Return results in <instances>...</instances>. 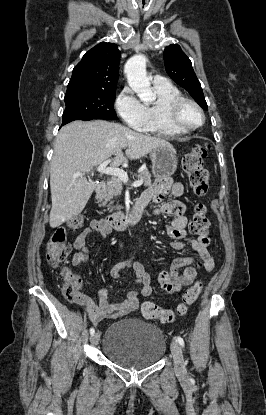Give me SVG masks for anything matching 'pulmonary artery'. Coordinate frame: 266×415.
Here are the masks:
<instances>
[{"label":"pulmonary artery","instance_id":"e3ab8cb5","mask_svg":"<svg viewBox=\"0 0 266 415\" xmlns=\"http://www.w3.org/2000/svg\"><path fill=\"white\" fill-rule=\"evenodd\" d=\"M166 82H167V80L164 77L160 76V75H155L154 78H153V83L154 84H162V83H166Z\"/></svg>","mask_w":266,"mask_h":415}]
</instances>
